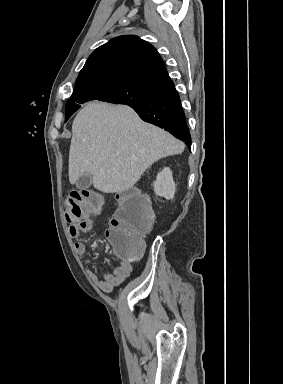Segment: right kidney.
Instances as JSON below:
<instances>
[{
	"instance_id": "1",
	"label": "right kidney",
	"mask_w": 283,
	"mask_h": 384,
	"mask_svg": "<svg viewBox=\"0 0 283 384\" xmlns=\"http://www.w3.org/2000/svg\"><path fill=\"white\" fill-rule=\"evenodd\" d=\"M154 192L157 196H162L166 200H172L176 192L170 168H164L157 174L156 182L153 184Z\"/></svg>"
}]
</instances>
